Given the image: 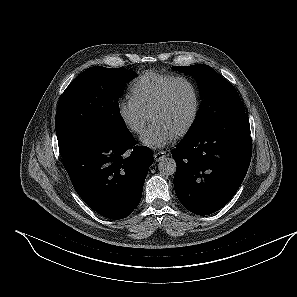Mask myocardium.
I'll use <instances>...</instances> for the list:
<instances>
[{"label": "myocardium", "mask_w": 297, "mask_h": 297, "mask_svg": "<svg viewBox=\"0 0 297 297\" xmlns=\"http://www.w3.org/2000/svg\"><path fill=\"white\" fill-rule=\"evenodd\" d=\"M178 82H184L190 87V89L192 91V94H193V100H194L193 110H192V114H191L189 120L175 134V136L179 138V137H182V136H184V135H186L187 133L190 132V130L195 125V123L197 121V118H198V115H199V112H200V104H201L200 94H199V91H198V88H197L196 84L190 78H188L186 76H175L172 80H170L165 85V87L161 91L158 99L156 100V102L151 107L150 112H149V119L151 120V117H152L153 113L156 112L157 110H159L160 108H162L165 105V103L168 100L171 89Z\"/></svg>", "instance_id": "1"}]
</instances>
